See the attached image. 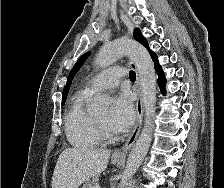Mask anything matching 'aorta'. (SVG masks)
I'll return each instance as SVG.
<instances>
[{"label": "aorta", "instance_id": "1", "mask_svg": "<svg viewBox=\"0 0 224 188\" xmlns=\"http://www.w3.org/2000/svg\"><path fill=\"white\" fill-rule=\"evenodd\" d=\"M127 55L135 63L141 86L143 106L145 111V124L139 138L133 146L122 175L120 188H124L128 179L131 178L143 158L147 154L152 140V118L156 103V78L154 64L147 49L136 41L120 38L103 45L95 59L97 66L105 68L113 64L117 59ZM110 100L104 95H96L92 109L95 111L106 110Z\"/></svg>", "mask_w": 224, "mask_h": 188}]
</instances>
